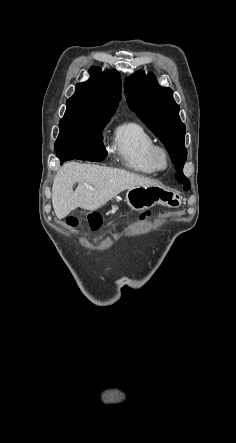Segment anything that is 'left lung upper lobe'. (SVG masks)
Here are the masks:
<instances>
[{
    "label": "left lung upper lobe",
    "instance_id": "1",
    "mask_svg": "<svg viewBox=\"0 0 236 443\" xmlns=\"http://www.w3.org/2000/svg\"><path fill=\"white\" fill-rule=\"evenodd\" d=\"M125 96L129 108L162 141L170 153L175 169L181 171L187 158L185 125L172 90L160 86L154 75L139 71L125 79Z\"/></svg>",
    "mask_w": 236,
    "mask_h": 443
}]
</instances>
